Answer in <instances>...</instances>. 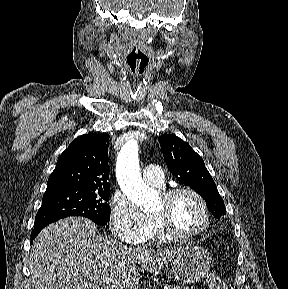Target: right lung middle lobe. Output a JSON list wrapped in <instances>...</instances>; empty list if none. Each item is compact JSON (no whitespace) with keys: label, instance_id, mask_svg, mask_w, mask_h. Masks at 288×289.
<instances>
[{"label":"right lung middle lobe","instance_id":"dd1d6c3e","mask_svg":"<svg viewBox=\"0 0 288 289\" xmlns=\"http://www.w3.org/2000/svg\"><path fill=\"white\" fill-rule=\"evenodd\" d=\"M110 187L95 189H51L43 195L42 205L35 218L34 227L43 226L68 216H82L98 225L110 220L107 203Z\"/></svg>","mask_w":288,"mask_h":289}]
</instances>
